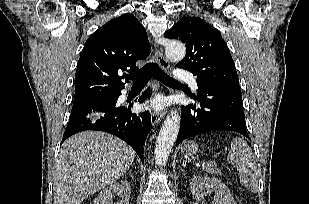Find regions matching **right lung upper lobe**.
Here are the masks:
<instances>
[{
    "mask_svg": "<svg viewBox=\"0 0 309 204\" xmlns=\"http://www.w3.org/2000/svg\"><path fill=\"white\" fill-rule=\"evenodd\" d=\"M151 48L146 31L132 14L100 27L86 41L77 64L74 105L120 93L122 71L134 72ZM124 76V75H123ZM127 81V80H126Z\"/></svg>",
    "mask_w": 309,
    "mask_h": 204,
    "instance_id": "cb5924a9",
    "label": "right lung upper lobe"
}]
</instances>
